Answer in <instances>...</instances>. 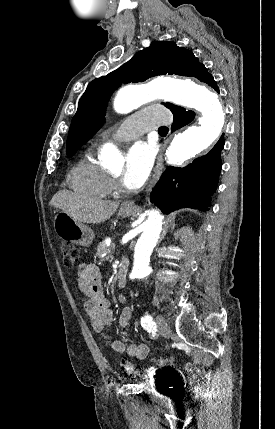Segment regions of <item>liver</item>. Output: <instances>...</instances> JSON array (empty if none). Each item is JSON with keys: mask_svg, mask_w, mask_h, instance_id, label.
Masks as SVG:
<instances>
[{"mask_svg": "<svg viewBox=\"0 0 275 429\" xmlns=\"http://www.w3.org/2000/svg\"><path fill=\"white\" fill-rule=\"evenodd\" d=\"M50 205L61 209L78 223L100 224L117 210L119 202L84 197L69 190L58 191Z\"/></svg>", "mask_w": 275, "mask_h": 429, "instance_id": "6515ba94", "label": "liver"}]
</instances>
